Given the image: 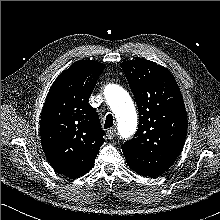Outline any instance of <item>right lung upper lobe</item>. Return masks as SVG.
I'll use <instances>...</instances> for the list:
<instances>
[{"mask_svg": "<svg viewBox=\"0 0 220 220\" xmlns=\"http://www.w3.org/2000/svg\"><path fill=\"white\" fill-rule=\"evenodd\" d=\"M105 65L80 60L51 86L42 109L40 134L51 166L69 178L87 173L104 142L96 110L88 103Z\"/></svg>", "mask_w": 220, "mask_h": 220, "instance_id": "right-lung-upper-lobe-1", "label": "right lung upper lobe"}]
</instances>
